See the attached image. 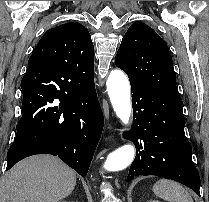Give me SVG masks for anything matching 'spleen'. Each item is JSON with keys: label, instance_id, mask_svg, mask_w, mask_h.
Returning <instances> with one entry per match:
<instances>
[{"label": "spleen", "instance_id": "spleen-1", "mask_svg": "<svg viewBox=\"0 0 209 202\" xmlns=\"http://www.w3.org/2000/svg\"><path fill=\"white\" fill-rule=\"evenodd\" d=\"M153 192L156 196L169 202H193L189 192L180 184L160 179L153 185Z\"/></svg>", "mask_w": 209, "mask_h": 202}]
</instances>
